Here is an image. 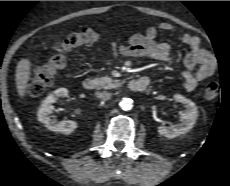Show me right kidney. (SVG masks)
<instances>
[{
    "instance_id": "ca27d5eb",
    "label": "right kidney",
    "mask_w": 230,
    "mask_h": 186,
    "mask_svg": "<svg viewBox=\"0 0 230 186\" xmlns=\"http://www.w3.org/2000/svg\"><path fill=\"white\" fill-rule=\"evenodd\" d=\"M68 90L66 88H59L53 93L49 94L43 101L38 110V120L45 124V127L54 132H60L63 134H70L77 128V122L67 121H56L50 118V114L54 111L53 103L59 98L66 97Z\"/></svg>"
}]
</instances>
